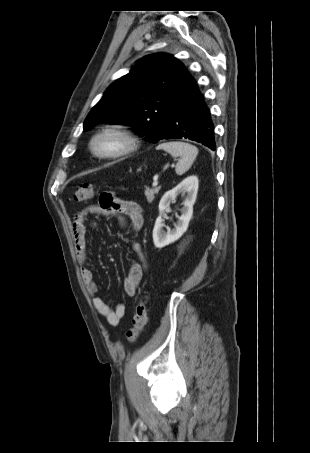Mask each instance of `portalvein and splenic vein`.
<instances>
[{
    "label": "portal vein and splenic vein",
    "mask_w": 310,
    "mask_h": 453,
    "mask_svg": "<svg viewBox=\"0 0 310 453\" xmlns=\"http://www.w3.org/2000/svg\"><path fill=\"white\" fill-rule=\"evenodd\" d=\"M152 186L153 187H157L158 186V176H155Z\"/></svg>",
    "instance_id": "1"
}]
</instances>
